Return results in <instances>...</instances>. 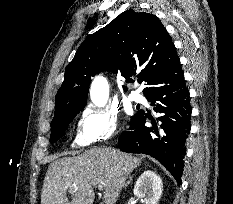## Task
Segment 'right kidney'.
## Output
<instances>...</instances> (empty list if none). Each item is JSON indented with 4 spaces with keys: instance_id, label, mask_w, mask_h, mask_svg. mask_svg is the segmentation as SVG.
Returning a JSON list of instances; mask_svg holds the SVG:
<instances>
[{
    "instance_id": "1",
    "label": "right kidney",
    "mask_w": 233,
    "mask_h": 204,
    "mask_svg": "<svg viewBox=\"0 0 233 204\" xmlns=\"http://www.w3.org/2000/svg\"><path fill=\"white\" fill-rule=\"evenodd\" d=\"M161 178L151 170L144 171L134 186V195L144 200L145 204H158L162 195Z\"/></svg>"
}]
</instances>
